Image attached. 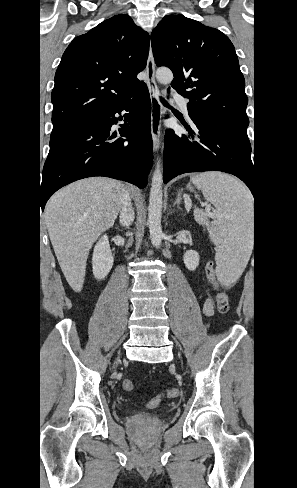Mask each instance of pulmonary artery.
<instances>
[{
	"mask_svg": "<svg viewBox=\"0 0 297 488\" xmlns=\"http://www.w3.org/2000/svg\"><path fill=\"white\" fill-rule=\"evenodd\" d=\"M175 102L181 107L183 112L188 114V100L179 94L174 95Z\"/></svg>",
	"mask_w": 297,
	"mask_h": 488,
	"instance_id": "obj_1",
	"label": "pulmonary artery"
}]
</instances>
